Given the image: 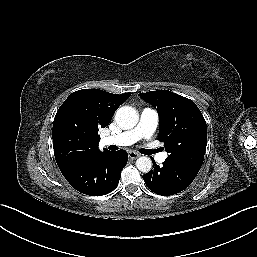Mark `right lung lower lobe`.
Returning a JSON list of instances; mask_svg holds the SVG:
<instances>
[{"label": "right lung lower lobe", "mask_w": 257, "mask_h": 257, "mask_svg": "<svg viewBox=\"0 0 257 257\" xmlns=\"http://www.w3.org/2000/svg\"><path fill=\"white\" fill-rule=\"evenodd\" d=\"M127 160L125 150L105 151L79 164L60 167V171L74 189L87 195L101 196L117 187Z\"/></svg>", "instance_id": "1"}]
</instances>
